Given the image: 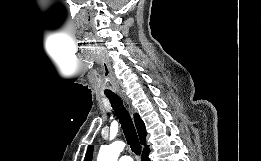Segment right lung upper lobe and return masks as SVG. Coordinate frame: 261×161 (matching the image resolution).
I'll return each instance as SVG.
<instances>
[{"mask_svg":"<svg viewBox=\"0 0 261 161\" xmlns=\"http://www.w3.org/2000/svg\"><path fill=\"white\" fill-rule=\"evenodd\" d=\"M134 120H135V124H136V128H137V132H138V135L140 138V142L142 145H145V139H146V135H147L146 130H145V125L138 114L134 115ZM145 147L146 148L143 150V152L149 151L148 145H145ZM92 153H93V145H90L88 147L84 161H92Z\"/></svg>","mask_w":261,"mask_h":161,"instance_id":"cb5924a9","label":"right lung upper lobe"}]
</instances>
